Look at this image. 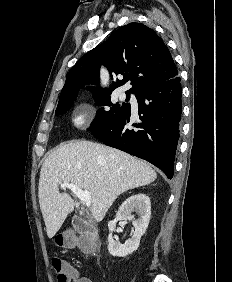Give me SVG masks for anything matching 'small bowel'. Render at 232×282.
<instances>
[{
    "instance_id": "1",
    "label": "small bowel",
    "mask_w": 232,
    "mask_h": 282,
    "mask_svg": "<svg viewBox=\"0 0 232 282\" xmlns=\"http://www.w3.org/2000/svg\"><path fill=\"white\" fill-rule=\"evenodd\" d=\"M73 282H95L90 277L81 276L79 272L73 268Z\"/></svg>"
}]
</instances>
